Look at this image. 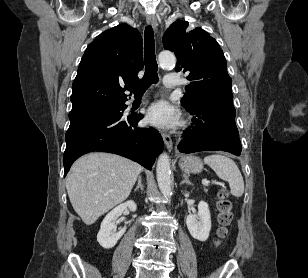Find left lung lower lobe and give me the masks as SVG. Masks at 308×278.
I'll list each match as a JSON object with an SVG mask.
<instances>
[{"mask_svg":"<svg viewBox=\"0 0 308 278\" xmlns=\"http://www.w3.org/2000/svg\"><path fill=\"white\" fill-rule=\"evenodd\" d=\"M187 110L196 118L192 119L194 126L184 131L185 137L178 146L180 152L222 150L240 155L242 146L232 92L214 94Z\"/></svg>","mask_w":308,"mask_h":278,"instance_id":"1","label":"left lung lower lobe"}]
</instances>
